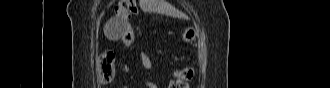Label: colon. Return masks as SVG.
<instances>
[{
	"label": "colon",
	"instance_id": "1",
	"mask_svg": "<svg viewBox=\"0 0 330 88\" xmlns=\"http://www.w3.org/2000/svg\"><path fill=\"white\" fill-rule=\"evenodd\" d=\"M118 16L124 21H128L131 16L137 12L136 2L133 0H123L119 2L116 10ZM134 41V34L129 28L126 27L121 42L126 47H130ZM98 73L102 83H109L115 77V62L114 56L111 52L105 51L101 53L98 61ZM193 70L189 67L179 68L175 72V77L170 85L171 88H187L189 82L193 78Z\"/></svg>",
	"mask_w": 330,
	"mask_h": 88
}]
</instances>
